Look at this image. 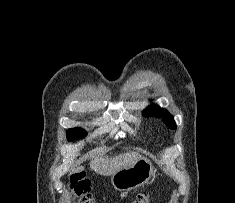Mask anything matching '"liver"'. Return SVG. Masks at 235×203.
Segmentation results:
<instances>
[{
  "label": "liver",
  "mask_w": 235,
  "mask_h": 203,
  "mask_svg": "<svg viewBox=\"0 0 235 203\" xmlns=\"http://www.w3.org/2000/svg\"><path fill=\"white\" fill-rule=\"evenodd\" d=\"M138 153L136 152H127L123 154H119L115 157H108V156H96L90 162V167L94 172L99 175H112L113 173L117 172L118 170L133 165L135 162L140 158ZM84 167L80 166L76 169H73V172L83 171Z\"/></svg>",
  "instance_id": "1"
}]
</instances>
